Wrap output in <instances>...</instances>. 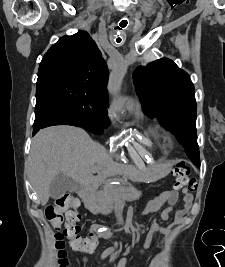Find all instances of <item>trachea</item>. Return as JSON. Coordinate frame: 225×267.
<instances>
[{
  "instance_id": "3493384b",
  "label": "trachea",
  "mask_w": 225,
  "mask_h": 267,
  "mask_svg": "<svg viewBox=\"0 0 225 267\" xmlns=\"http://www.w3.org/2000/svg\"><path fill=\"white\" fill-rule=\"evenodd\" d=\"M127 20H122L119 24L120 28L118 27V29H122L125 28L127 26Z\"/></svg>"
}]
</instances>
